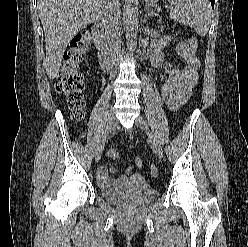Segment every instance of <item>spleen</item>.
I'll use <instances>...</instances> for the list:
<instances>
[{
	"label": "spleen",
	"mask_w": 248,
	"mask_h": 247,
	"mask_svg": "<svg viewBox=\"0 0 248 247\" xmlns=\"http://www.w3.org/2000/svg\"><path fill=\"white\" fill-rule=\"evenodd\" d=\"M172 7L170 18L195 29L205 36L211 24V6L208 0H168Z\"/></svg>",
	"instance_id": "spleen-1"
}]
</instances>
